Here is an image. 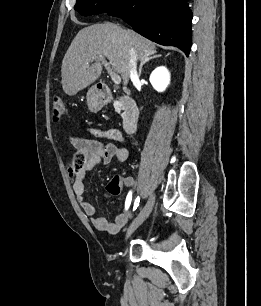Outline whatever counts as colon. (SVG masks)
<instances>
[{
  "instance_id": "1",
  "label": "colon",
  "mask_w": 261,
  "mask_h": 306,
  "mask_svg": "<svg viewBox=\"0 0 261 306\" xmlns=\"http://www.w3.org/2000/svg\"><path fill=\"white\" fill-rule=\"evenodd\" d=\"M66 114V108L63 101L59 97H55L52 102V119L54 122H60ZM77 167H81L86 159V154L83 151L76 152L73 155ZM115 195V194H113Z\"/></svg>"
}]
</instances>
